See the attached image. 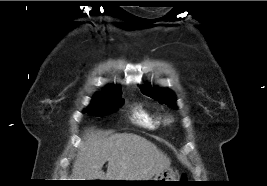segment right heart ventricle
I'll return each instance as SVG.
<instances>
[{"instance_id": "e07e8e85", "label": "right heart ventricle", "mask_w": 267, "mask_h": 186, "mask_svg": "<svg viewBox=\"0 0 267 186\" xmlns=\"http://www.w3.org/2000/svg\"><path fill=\"white\" fill-rule=\"evenodd\" d=\"M133 118L136 123L148 129H156L162 123V115L159 112L143 107H138L134 111Z\"/></svg>"}]
</instances>
